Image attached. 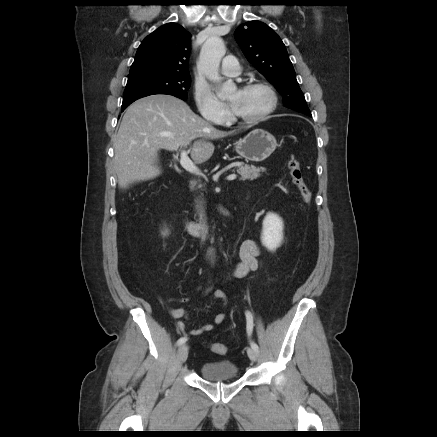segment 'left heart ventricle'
I'll return each mask as SVG.
<instances>
[{"label":"left heart ventricle","mask_w":437,"mask_h":437,"mask_svg":"<svg viewBox=\"0 0 437 437\" xmlns=\"http://www.w3.org/2000/svg\"><path fill=\"white\" fill-rule=\"evenodd\" d=\"M229 100L234 103V112L242 117H254L268 106L269 95L262 88H242L234 90Z\"/></svg>","instance_id":"left-heart-ventricle-1"}]
</instances>
